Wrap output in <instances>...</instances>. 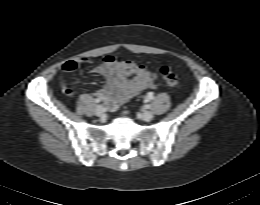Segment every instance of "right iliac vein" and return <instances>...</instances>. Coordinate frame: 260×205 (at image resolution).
<instances>
[{"label":"right iliac vein","instance_id":"63e3f726","mask_svg":"<svg viewBox=\"0 0 260 205\" xmlns=\"http://www.w3.org/2000/svg\"><path fill=\"white\" fill-rule=\"evenodd\" d=\"M104 113H105V109H104L103 106H101V105L96 106L95 114H96L97 116H99V117H100V116H103Z\"/></svg>","mask_w":260,"mask_h":205}]
</instances>
